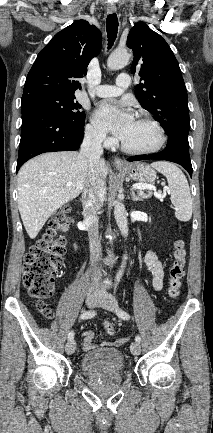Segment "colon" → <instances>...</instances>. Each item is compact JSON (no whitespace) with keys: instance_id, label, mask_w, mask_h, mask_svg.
Instances as JSON below:
<instances>
[{"instance_id":"obj_1","label":"colon","mask_w":213,"mask_h":433,"mask_svg":"<svg viewBox=\"0 0 213 433\" xmlns=\"http://www.w3.org/2000/svg\"><path fill=\"white\" fill-rule=\"evenodd\" d=\"M69 211L66 206L53 216L47 231L29 248L24 258L23 284L29 295L37 299L36 310L45 318H51L53 314L46 301L55 291L56 275L66 252L63 232L70 223ZM185 265V243L178 239L173 245L169 267L168 295L173 300L180 295ZM104 329L109 335L116 333V327L111 322H106Z\"/></svg>"}]
</instances>
